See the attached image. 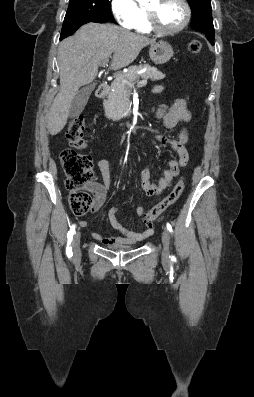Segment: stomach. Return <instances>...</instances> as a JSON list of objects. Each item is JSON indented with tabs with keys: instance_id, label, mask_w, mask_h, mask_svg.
I'll return each mask as SVG.
<instances>
[{
	"instance_id": "1",
	"label": "stomach",
	"mask_w": 254,
	"mask_h": 397,
	"mask_svg": "<svg viewBox=\"0 0 254 397\" xmlns=\"http://www.w3.org/2000/svg\"><path fill=\"white\" fill-rule=\"evenodd\" d=\"M149 56L155 64H164L173 56V49L166 41L155 42L150 46Z\"/></svg>"
}]
</instances>
